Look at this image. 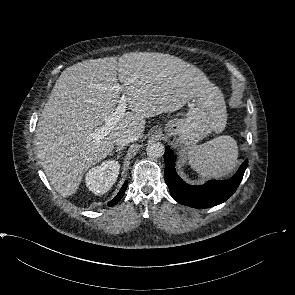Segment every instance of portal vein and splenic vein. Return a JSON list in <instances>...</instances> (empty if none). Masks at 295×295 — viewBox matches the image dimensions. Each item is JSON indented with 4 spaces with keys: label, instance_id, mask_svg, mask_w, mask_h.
Listing matches in <instances>:
<instances>
[{
    "label": "portal vein and splenic vein",
    "instance_id": "obj_1",
    "mask_svg": "<svg viewBox=\"0 0 295 295\" xmlns=\"http://www.w3.org/2000/svg\"><path fill=\"white\" fill-rule=\"evenodd\" d=\"M115 88L119 90L121 86L116 85ZM126 109H127V101L125 96H122L119 100V104L116 107L115 112L105 119V125L91 132L89 135L96 141H100L116 125V123L124 115Z\"/></svg>",
    "mask_w": 295,
    "mask_h": 295
}]
</instances>
